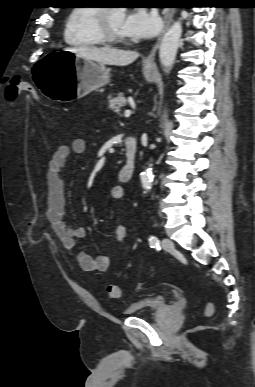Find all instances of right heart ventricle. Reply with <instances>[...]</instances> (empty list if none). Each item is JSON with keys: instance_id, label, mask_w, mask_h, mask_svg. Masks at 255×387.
<instances>
[{"instance_id": "1", "label": "right heart ventricle", "mask_w": 255, "mask_h": 387, "mask_svg": "<svg viewBox=\"0 0 255 387\" xmlns=\"http://www.w3.org/2000/svg\"><path fill=\"white\" fill-rule=\"evenodd\" d=\"M98 9L94 6H77L70 11L64 27V40L68 45L76 48L104 45L96 25Z\"/></svg>"}]
</instances>
